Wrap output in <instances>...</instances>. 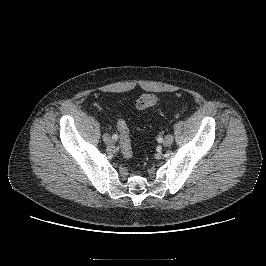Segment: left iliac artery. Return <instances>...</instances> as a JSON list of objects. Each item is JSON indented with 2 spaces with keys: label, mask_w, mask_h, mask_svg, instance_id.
Segmentation results:
<instances>
[{
  "label": "left iliac artery",
  "mask_w": 266,
  "mask_h": 266,
  "mask_svg": "<svg viewBox=\"0 0 266 266\" xmlns=\"http://www.w3.org/2000/svg\"><path fill=\"white\" fill-rule=\"evenodd\" d=\"M156 141H157V143H159V144H160V143H162V141H163V140H162V138H160V137H159V138H157V140H156Z\"/></svg>",
  "instance_id": "obj_1"
}]
</instances>
